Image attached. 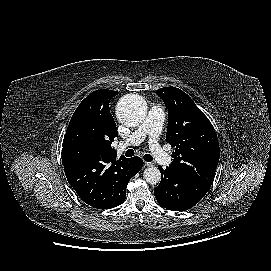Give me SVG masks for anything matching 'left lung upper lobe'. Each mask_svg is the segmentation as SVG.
Wrapping results in <instances>:
<instances>
[{
    "instance_id": "obj_1",
    "label": "left lung upper lobe",
    "mask_w": 271,
    "mask_h": 271,
    "mask_svg": "<svg viewBox=\"0 0 271 271\" xmlns=\"http://www.w3.org/2000/svg\"><path fill=\"white\" fill-rule=\"evenodd\" d=\"M156 93L168 109L166 140L176 147L171 166L211 186L220 156L214 127L182 90L164 87Z\"/></svg>"
}]
</instances>
